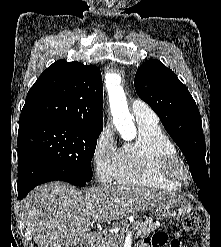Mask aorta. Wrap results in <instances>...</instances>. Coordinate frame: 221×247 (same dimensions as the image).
Masks as SVG:
<instances>
[{"label": "aorta", "mask_w": 221, "mask_h": 247, "mask_svg": "<svg viewBox=\"0 0 221 247\" xmlns=\"http://www.w3.org/2000/svg\"><path fill=\"white\" fill-rule=\"evenodd\" d=\"M110 109L114 123L123 135L130 133L131 136L136 134V128L133 123V117L129 112L126 96L121 86V76L112 73L106 76L105 80Z\"/></svg>", "instance_id": "762f6f07"}]
</instances>
